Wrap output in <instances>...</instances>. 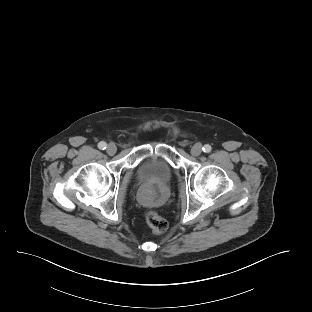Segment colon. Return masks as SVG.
Returning <instances> with one entry per match:
<instances>
[{"label": "colon", "instance_id": "1", "mask_svg": "<svg viewBox=\"0 0 312 312\" xmlns=\"http://www.w3.org/2000/svg\"><path fill=\"white\" fill-rule=\"evenodd\" d=\"M145 220L150 230L155 234L164 233L168 229L167 221L156 211H148Z\"/></svg>", "mask_w": 312, "mask_h": 312}]
</instances>
